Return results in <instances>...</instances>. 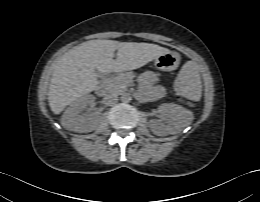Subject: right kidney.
<instances>
[{
  "mask_svg": "<svg viewBox=\"0 0 260 202\" xmlns=\"http://www.w3.org/2000/svg\"><path fill=\"white\" fill-rule=\"evenodd\" d=\"M94 100L93 95H86L72 103L62 116V126L67 130L80 133L94 130L100 122V113H82L87 106L94 103Z\"/></svg>",
  "mask_w": 260,
  "mask_h": 202,
  "instance_id": "right-kidney-1",
  "label": "right kidney"
}]
</instances>
